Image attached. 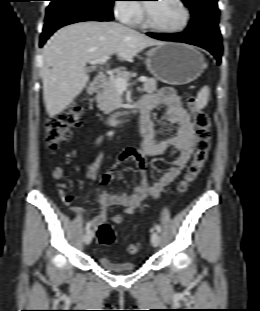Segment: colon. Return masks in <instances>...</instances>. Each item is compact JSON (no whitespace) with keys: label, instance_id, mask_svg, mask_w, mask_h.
<instances>
[{"label":"colon","instance_id":"1","mask_svg":"<svg viewBox=\"0 0 260 311\" xmlns=\"http://www.w3.org/2000/svg\"><path fill=\"white\" fill-rule=\"evenodd\" d=\"M188 109L193 116L196 128V140L194 143V154L192 162L183 180L178 185L180 193L186 192L190 184L199 176L208 159L211 141V123L209 115L202 111L195 97H189L187 102ZM82 109L78 105H72L60 116L47 121L45 126V140L50 152H56L62 141L69 139L74 129L81 126ZM96 237L102 245H111L116 239V234L112 226L108 223H101L96 228ZM140 250L138 243H132L127 251L136 254Z\"/></svg>","mask_w":260,"mask_h":311}]
</instances>
